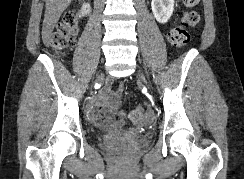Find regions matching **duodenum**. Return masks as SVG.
Returning <instances> with one entry per match:
<instances>
[{
	"label": "duodenum",
	"mask_w": 244,
	"mask_h": 179,
	"mask_svg": "<svg viewBox=\"0 0 244 179\" xmlns=\"http://www.w3.org/2000/svg\"><path fill=\"white\" fill-rule=\"evenodd\" d=\"M91 5H92V2H90V1H88L87 3H85L83 12L86 13V14H89L90 13L89 6H91Z\"/></svg>",
	"instance_id": "duodenum-1"
}]
</instances>
